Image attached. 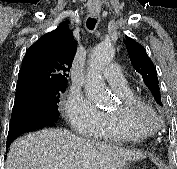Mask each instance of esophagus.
Listing matches in <instances>:
<instances>
[{
  "mask_svg": "<svg viewBox=\"0 0 177 169\" xmlns=\"http://www.w3.org/2000/svg\"><path fill=\"white\" fill-rule=\"evenodd\" d=\"M89 14L92 17H96L99 15L100 12V5H94V6H89L88 7Z\"/></svg>",
  "mask_w": 177,
  "mask_h": 169,
  "instance_id": "34e87169",
  "label": "esophagus"
}]
</instances>
